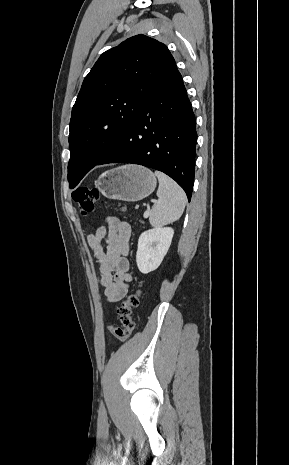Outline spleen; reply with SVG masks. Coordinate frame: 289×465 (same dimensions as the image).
Here are the masks:
<instances>
[{"label": "spleen", "mask_w": 289, "mask_h": 465, "mask_svg": "<svg viewBox=\"0 0 289 465\" xmlns=\"http://www.w3.org/2000/svg\"><path fill=\"white\" fill-rule=\"evenodd\" d=\"M159 181L157 190L158 202L149 212L150 224L160 227L178 220L185 208L186 195L183 189L166 174L156 171Z\"/></svg>", "instance_id": "3e777b00"}]
</instances>
